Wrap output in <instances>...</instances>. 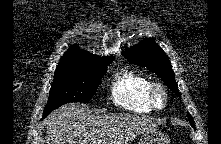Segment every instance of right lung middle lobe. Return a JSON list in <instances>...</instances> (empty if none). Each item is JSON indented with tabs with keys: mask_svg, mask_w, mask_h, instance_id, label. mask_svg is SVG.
<instances>
[{
	"mask_svg": "<svg viewBox=\"0 0 221 144\" xmlns=\"http://www.w3.org/2000/svg\"><path fill=\"white\" fill-rule=\"evenodd\" d=\"M57 66L43 118L69 102H87L95 94L107 65Z\"/></svg>",
	"mask_w": 221,
	"mask_h": 144,
	"instance_id": "1",
	"label": "right lung middle lobe"
}]
</instances>
